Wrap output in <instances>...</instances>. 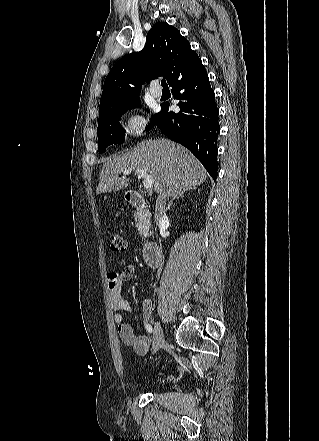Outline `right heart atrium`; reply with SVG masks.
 Listing matches in <instances>:
<instances>
[{"mask_svg": "<svg viewBox=\"0 0 319 441\" xmlns=\"http://www.w3.org/2000/svg\"><path fill=\"white\" fill-rule=\"evenodd\" d=\"M125 134L136 139L140 137L146 129V119L140 113L134 112L126 116L123 123Z\"/></svg>", "mask_w": 319, "mask_h": 441, "instance_id": "obj_1", "label": "right heart atrium"}]
</instances>
